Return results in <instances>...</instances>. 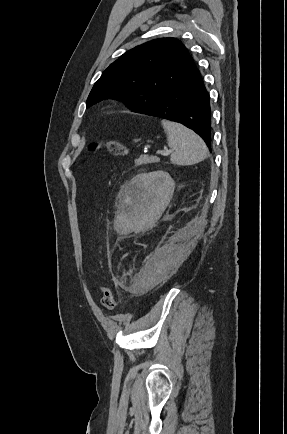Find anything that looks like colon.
<instances>
[{"label":"colon","instance_id":"1","mask_svg":"<svg viewBox=\"0 0 287 434\" xmlns=\"http://www.w3.org/2000/svg\"><path fill=\"white\" fill-rule=\"evenodd\" d=\"M90 151H103L106 152L112 156L120 157L127 154V148L126 146L117 140H108L105 142H97L90 146ZM115 292L114 290L109 286H103L102 287V295H101V305L106 310H113L115 307Z\"/></svg>","mask_w":287,"mask_h":434}]
</instances>
